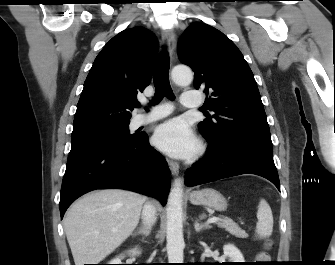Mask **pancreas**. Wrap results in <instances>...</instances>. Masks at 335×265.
<instances>
[{"mask_svg": "<svg viewBox=\"0 0 335 265\" xmlns=\"http://www.w3.org/2000/svg\"><path fill=\"white\" fill-rule=\"evenodd\" d=\"M219 227L225 228L230 234L234 235L238 238H246L247 234L244 230H242L238 224H236L233 220L229 218H221L217 223Z\"/></svg>", "mask_w": 335, "mask_h": 265, "instance_id": "obj_1", "label": "pancreas"}]
</instances>
